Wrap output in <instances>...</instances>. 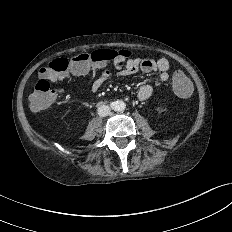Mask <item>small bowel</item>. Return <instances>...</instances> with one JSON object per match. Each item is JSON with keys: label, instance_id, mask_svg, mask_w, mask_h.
Returning <instances> with one entry per match:
<instances>
[{"label": "small bowel", "instance_id": "small-bowel-1", "mask_svg": "<svg viewBox=\"0 0 232 232\" xmlns=\"http://www.w3.org/2000/svg\"><path fill=\"white\" fill-rule=\"evenodd\" d=\"M114 71H110L105 69L98 77L94 78V74L92 73L88 86L92 92H97L105 83V81L112 75L126 77L138 72H142L145 74H150L152 72L159 73V79L161 82H167L169 80V69L170 63L165 58H160L158 60H154L148 57H140V58H125L121 55H117L112 58ZM105 63L97 64L95 67L100 69L105 67ZM88 70L82 73L71 72L73 75L82 76L87 73ZM66 76L62 77L60 80L65 79ZM58 80V81H60ZM153 93V87L150 84L142 85L137 92V99L140 101L147 100Z\"/></svg>", "mask_w": 232, "mask_h": 232}]
</instances>
